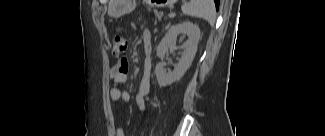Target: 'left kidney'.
Listing matches in <instances>:
<instances>
[{
	"label": "left kidney",
	"instance_id": "1",
	"mask_svg": "<svg viewBox=\"0 0 325 136\" xmlns=\"http://www.w3.org/2000/svg\"><path fill=\"white\" fill-rule=\"evenodd\" d=\"M180 33L185 34L188 39L183 44L184 52L182 53L178 64L175 65L174 70H167L163 62H159L156 65L155 74L160 87L171 85L180 80L191 66L196 55L200 39V28L196 24L185 21L170 27L156 49L157 56L160 59H163L169 46L172 45Z\"/></svg>",
	"mask_w": 325,
	"mask_h": 136
}]
</instances>
